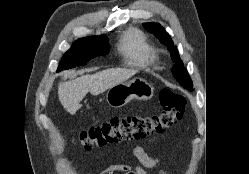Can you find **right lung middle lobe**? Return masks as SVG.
Here are the masks:
<instances>
[{
    "label": "right lung middle lobe",
    "instance_id": "1",
    "mask_svg": "<svg viewBox=\"0 0 249 174\" xmlns=\"http://www.w3.org/2000/svg\"><path fill=\"white\" fill-rule=\"evenodd\" d=\"M108 53V39L105 36H91L78 39L63 56L57 72L85 65L90 59Z\"/></svg>",
    "mask_w": 249,
    "mask_h": 174
}]
</instances>
